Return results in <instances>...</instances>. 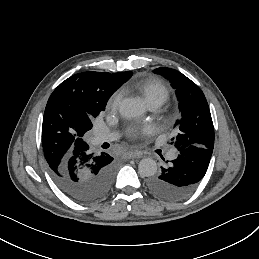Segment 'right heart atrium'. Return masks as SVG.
I'll use <instances>...</instances> for the list:
<instances>
[{
  "label": "right heart atrium",
  "mask_w": 259,
  "mask_h": 259,
  "mask_svg": "<svg viewBox=\"0 0 259 259\" xmlns=\"http://www.w3.org/2000/svg\"><path fill=\"white\" fill-rule=\"evenodd\" d=\"M122 100L121 93L119 91H116L112 94L109 103L113 108H118Z\"/></svg>",
  "instance_id": "right-heart-atrium-1"
}]
</instances>
